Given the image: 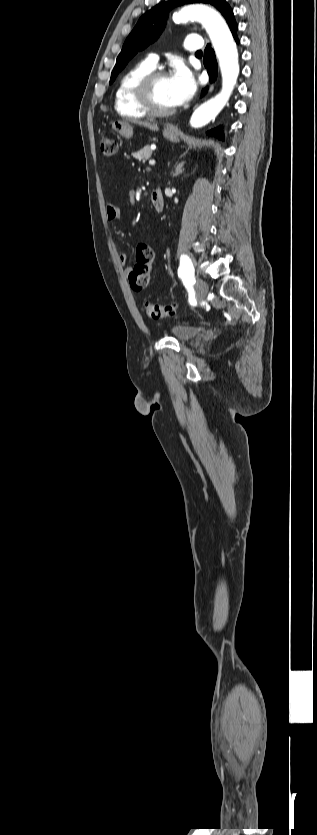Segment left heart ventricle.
I'll use <instances>...</instances> for the list:
<instances>
[{"instance_id":"left-heart-ventricle-1","label":"left heart ventricle","mask_w":317,"mask_h":835,"mask_svg":"<svg viewBox=\"0 0 317 835\" xmlns=\"http://www.w3.org/2000/svg\"><path fill=\"white\" fill-rule=\"evenodd\" d=\"M154 97L159 107L165 109L174 107L170 93L169 78H163L157 81L154 89Z\"/></svg>"}]
</instances>
